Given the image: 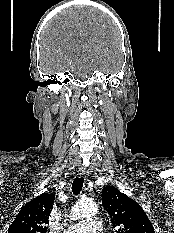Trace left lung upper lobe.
<instances>
[{
  "label": "left lung upper lobe",
  "mask_w": 174,
  "mask_h": 233,
  "mask_svg": "<svg viewBox=\"0 0 174 233\" xmlns=\"http://www.w3.org/2000/svg\"><path fill=\"white\" fill-rule=\"evenodd\" d=\"M102 205L116 233H155L141 206L113 186L102 191Z\"/></svg>",
  "instance_id": "1"
}]
</instances>
